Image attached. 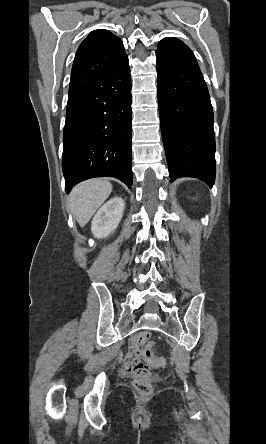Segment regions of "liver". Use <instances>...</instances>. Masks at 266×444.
Returning a JSON list of instances; mask_svg holds the SVG:
<instances>
[{
	"label": "liver",
	"mask_w": 266,
	"mask_h": 444,
	"mask_svg": "<svg viewBox=\"0 0 266 444\" xmlns=\"http://www.w3.org/2000/svg\"><path fill=\"white\" fill-rule=\"evenodd\" d=\"M111 191L112 185L101 178L81 182L72 189L69 206L81 227L88 223L96 210L109 197Z\"/></svg>",
	"instance_id": "obj_1"
}]
</instances>
